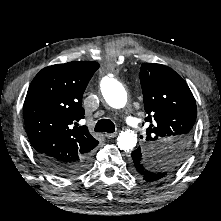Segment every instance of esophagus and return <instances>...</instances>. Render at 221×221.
Segmentation results:
<instances>
[{
    "mask_svg": "<svg viewBox=\"0 0 221 221\" xmlns=\"http://www.w3.org/2000/svg\"><path fill=\"white\" fill-rule=\"evenodd\" d=\"M117 133H106L105 137H107L108 139L114 138L116 137Z\"/></svg>",
    "mask_w": 221,
    "mask_h": 221,
    "instance_id": "34e87169",
    "label": "esophagus"
}]
</instances>
